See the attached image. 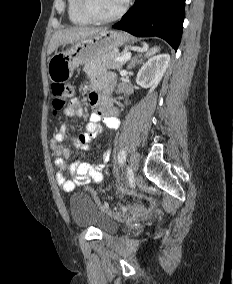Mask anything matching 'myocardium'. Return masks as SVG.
Here are the masks:
<instances>
[{
  "mask_svg": "<svg viewBox=\"0 0 233 284\" xmlns=\"http://www.w3.org/2000/svg\"><path fill=\"white\" fill-rule=\"evenodd\" d=\"M127 0L123 2L122 7L111 16H101L97 14L92 7V0H80V7L83 14L95 23H110L121 18L127 10Z\"/></svg>",
  "mask_w": 233,
  "mask_h": 284,
  "instance_id": "myocardium-1",
  "label": "myocardium"
}]
</instances>
